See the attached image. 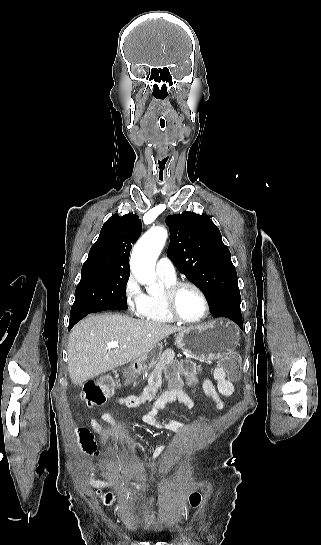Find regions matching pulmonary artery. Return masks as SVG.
Listing matches in <instances>:
<instances>
[{"instance_id": "pulmonary-artery-1", "label": "pulmonary artery", "mask_w": 321, "mask_h": 545, "mask_svg": "<svg viewBox=\"0 0 321 545\" xmlns=\"http://www.w3.org/2000/svg\"><path fill=\"white\" fill-rule=\"evenodd\" d=\"M156 269L159 276L167 279H176V269L167 255L160 257L157 261Z\"/></svg>"}]
</instances>
